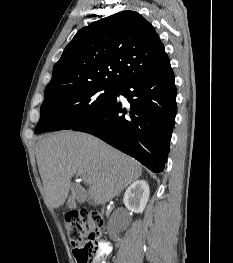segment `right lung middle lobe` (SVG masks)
Listing matches in <instances>:
<instances>
[{"instance_id":"1","label":"right lung middle lobe","mask_w":233,"mask_h":263,"mask_svg":"<svg viewBox=\"0 0 233 263\" xmlns=\"http://www.w3.org/2000/svg\"><path fill=\"white\" fill-rule=\"evenodd\" d=\"M116 91L117 87L90 85L46 97L35 132L72 129L104 109Z\"/></svg>"}]
</instances>
